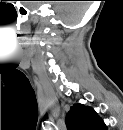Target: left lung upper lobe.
<instances>
[{
    "mask_svg": "<svg viewBox=\"0 0 123 130\" xmlns=\"http://www.w3.org/2000/svg\"><path fill=\"white\" fill-rule=\"evenodd\" d=\"M69 130H106V125L90 107L74 104L66 116Z\"/></svg>",
    "mask_w": 123,
    "mask_h": 130,
    "instance_id": "obj_1",
    "label": "left lung upper lobe"
}]
</instances>
